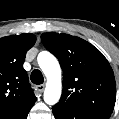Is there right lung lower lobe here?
<instances>
[{
	"label": "right lung lower lobe",
	"mask_w": 119,
	"mask_h": 119,
	"mask_svg": "<svg viewBox=\"0 0 119 119\" xmlns=\"http://www.w3.org/2000/svg\"><path fill=\"white\" fill-rule=\"evenodd\" d=\"M34 103L35 102L31 103L26 108L11 114L10 116H8V118H7V115H4V116H1L0 119H27V115L30 109L33 107Z\"/></svg>",
	"instance_id": "right-lung-lower-lobe-1"
}]
</instances>
